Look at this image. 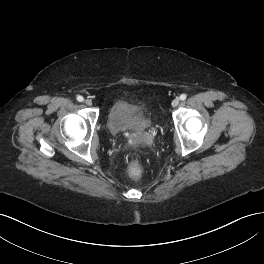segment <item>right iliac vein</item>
<instances>
[{
    "label": "right iliac vein",
    "instance_id": "obj_1",
    "mask_svg": "<svg viewBox=\"0 0 264 264\" xmlns=\"http://www.w3.org/2000/svg\"><path fill=\"white\" fill-rule=\"evenodd\" d=\"M84 103L88 106H91L92 105V101L90 99H85L84 100Z\"/></svg>",
    "mask_w": 264,
    "mask_h": 264
}]
</instances>
